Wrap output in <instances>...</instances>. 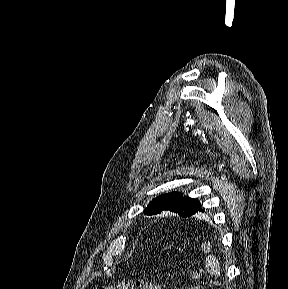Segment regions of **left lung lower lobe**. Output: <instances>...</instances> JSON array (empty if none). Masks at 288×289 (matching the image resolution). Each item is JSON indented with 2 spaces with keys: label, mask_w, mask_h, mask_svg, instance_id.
<instances>
[{
  "label": "left lung lower lobe",
  "mask_w": 288,
  "mask_h": 289,
  "mask_svg": "<svg viewBox=\"0 0 288 289\" xmlns=\"http://www.w3.org/2000/svg\"><path fill=\"white\" fill-rule=\"evenodd\" d=\"M198 211H201V212L203 211V209L200 207V204L197 206V208L194 210V212L190 216H192L193 214H195Z\"/></svg>",
  "instance_id": "0a47b994"
}]
</instances>
